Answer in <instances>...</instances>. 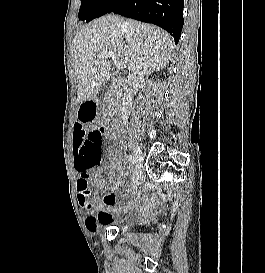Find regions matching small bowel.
<instances>
[{
  "mask_svg": "<svg viewBox=\"0 0 265 273\" xmlns=\"http://www.w3.org/2000/svg\"><path fill=\"white\" fill-rule=\"evenodd\" d=\"M96 109L94 103L83 102L78 110L79 122L74 125V168L78 175L77 179V200L85 214V226L91 233L97 232L100 228L107 227L114 219L112 209L116 207V196L113 193L99 195L98 191L105 185V180L100 176L99 171L92 173L89 171L87 175L81 171L78 163V154L76 149L77 135L76 129H88L89 125L84 123H94ZM114 168L121 170L122 173H128L127 166L121 168L119 160L112 161ZM93 181V190L89 187V181ZM84 181V182H82ZM87 189V190H86ZM143 197L136 194L134 198L128 202L124 208L133 209L142 205ZM119 208L118 210H121Z\"/></svg>",
  "mask_w": 265,
  "mask_h": 273,
  "instance_id": "obj_1",
  "label": "small bowel"
}]
</instances>
